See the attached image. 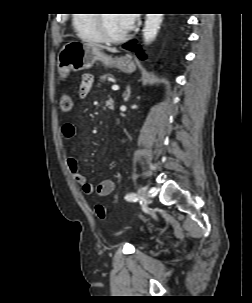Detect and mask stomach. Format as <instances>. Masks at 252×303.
Segmentation results:
<instances>
[{
	"mask_svg": "<svg viewBox=\"0 0 252 303\" xmlns=\"http://www.w3.org/2000/svg\"><path fill=\"white\" fill-rule=\"evenodd\" d=\"M96 61H101L105 66L117 67L129 74L136 70V64L129 56L112 58L91 43L72 40L66 43L58 54L59 76L64 80L71 70L90 68Z\"/></svg>",
	"mask_w": 252,
	"mask_h": 303,
	"instance_id": "0dacf381",
	"label": "stomach"
}]
</instances>
